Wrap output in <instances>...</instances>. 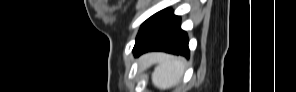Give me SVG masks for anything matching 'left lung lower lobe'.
I'll return each instance as SVG.
<instances>
[{
  "instance_id": "obj_1",
  "label": "left lung lower lobe",
  "mask_w": 296,
  "mask_h": 92,
  "mask_svg": "<svg viewBox=\"0 0 296 92\" xmlns=\"http://www.w3.org/2000/svg\"><path fill=\"white\" fill-rule=\"evenodd\" d=\"M147 51H165L189 57L188 37L180 28V17L165 9L141 42L133 49L135 56Z\"/></svg>"
}]
</instances>
